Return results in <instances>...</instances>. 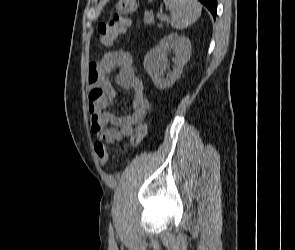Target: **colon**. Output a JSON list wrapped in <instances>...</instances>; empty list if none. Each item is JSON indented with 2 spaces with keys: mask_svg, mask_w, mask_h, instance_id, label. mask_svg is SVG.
<instances>
[{
  "mask_svg": "<svg viewBox=\"0 0 295 250\" xmlns=\"http://www.w3.org/2000/svg\"><path fill=\"white\" fill-rule=\"evenodd\" d=\"M128 23L129 20L127 17L115 13L109 22L99 23L96 27V32L102 43L109 45L113 43L119 35L125 32ZM146 132V124L142 123L138 125L134 131L131 144L138 145L144 139ZM94 149L99 162L102 165L106 164L110 155V148L103 143L96 142Z\"/></svg>",
  "mask_w": 295,
  "mask_h": 250,
  "instance_id": "obj_1",
  "label": "colon"
}]
</instances>
